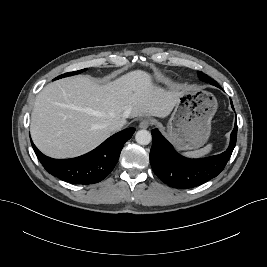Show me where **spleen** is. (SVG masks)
<instances>
[{"mask_svg": "<svg viewBox=\"0 0 267 267\" xmlns=\"http://www.w3.org/2000/svg\"><path fill=\"white\" fill-rule=\"evenodd\" d=\"M212 147H213L212 144H208L207 146H205L202 149L186 152L185 155L187 157H191V158H200V157H203V156L209 154L212 150Z\"/></svg>", "mask_w": 267, "mask_h": 267, "instance_id": "1", "label": "spleen"}]
</instances>
